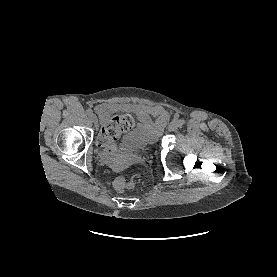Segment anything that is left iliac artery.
<instances>
[{"label": "left iliac artery", "mask_w": 277, "mask_h": 277, "mask_svg": "<svg viewBox=\"0 0 277 277\" xmlns=\"http://www.w3.org/2000/svg\"><path fill=\"white\" fill-rule=\"evenodd\" d=\"M184 124H185V120L184 119L178 120L179 127H182Z\"/></svg>", "instance_id": "44dca946"}]
</instances>
